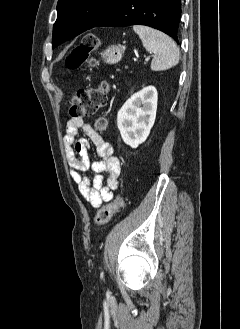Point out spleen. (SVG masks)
<instances>
[{"label": "spleen", "mask_w": 240, "mask_h": 329, "mask_svg": "<svg viewBox=\"0 0 240 329\" xmlns=\"http://www.w3.org/2000/svg\"><path fill=\"white\" fill-rule=\"evenodd\" d=\"M144 48L154 53L151 63L153 71H163L178 64L180 51L176 43L166 34L143 25H134Z\"/></svg>", "instance_id": "1"}]
</instances>
